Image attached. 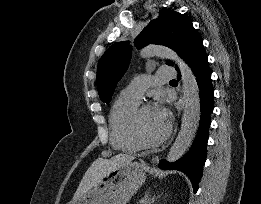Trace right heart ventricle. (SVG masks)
Returning a JSON list of instances; mask_svg holds the SVG:
<instances>
[{"label":"right heart ventricle","mask_w":261,"mask_h":204,"mask_svg":"<svg viewBox=\"0 0 261 204\" xmlns=\"http://www.w3.org/2000/svg\"><path fill=\"white\" fill-rule=\"evenodd\" d=\"M139 102L119 97L109 113L110 141L119 151L134 153L140 150L139 144L130 132V119Z\"/></svg>","instance_id":"right-heart-ventricle-1"}]
</instances>
